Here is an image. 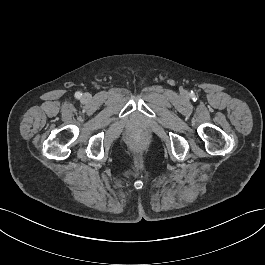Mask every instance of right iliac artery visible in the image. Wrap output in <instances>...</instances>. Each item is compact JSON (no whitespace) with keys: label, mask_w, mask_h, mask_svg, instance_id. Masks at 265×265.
<instances>
[{"label":"right iliac artery","mask_w":265,"mask_h":265,"mask_svg":"<svg viewBox=\"0 0 265 265\" xmlns=\"http://www.w3.org/2000/svg\"><path fill=\"white\" fill-rule=\"evenodd\" d=\"M81 96H82V94H81L80 92H76V93H75V97H76V98H80Z\"/></svg>","instance_id":"obj_1"}]
</instances>
